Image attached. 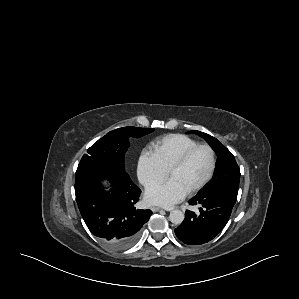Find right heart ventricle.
Listing matches in <instances>:
<instances>
[{
  "label": "right heart ventricle",
  "mask_w": 299,
  "mask_h": 299,
  "mask_svg": "<svg viewBox=\"0 0 299 299\" xmlns=\"http://www.w3.org/2000/svg\"><path fill=\"white\" fill-rule=\"evenodd\" d=\"M198 142L183 134H168L152 142L153 153L168 172L177 159Z\"/></svg>",
  "instance_id": "e07e8e85"
}]
</instances>
